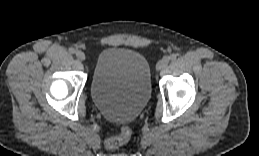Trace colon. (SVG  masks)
Listing matches in <instances>:
<instances>
[{"label":"colon","mask_w":259,"mask_h":156,"mask_svg":"<svg viewBox=\"0 0 259 156\" xmlns=\"http://www.w3.org/2000/svg\"><path fill=\"white\" fill-rule=\"evenodd\" d=\"M131 137V130L127 126L120 128V131L117 135L112 136L106 140V146L110 149L117 148L129 141Z\"/></svg>","instance_id":"obj_1"}]
</instances>
